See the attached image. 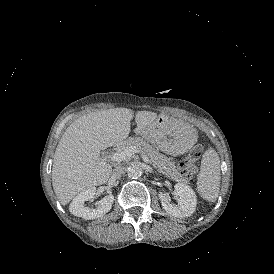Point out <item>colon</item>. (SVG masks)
<instances>
[{
  "label": "colon",
  "mask_w": 274,
  "mask_h": 274,
  "mask_svg": "<svg viewBox=\"0 0 274 274\" xmlns=\"http://www.w3.org/2000/svg\"><path fill=\"white\" fill-rule=\"evenodd\" d=\"M203 148L202 146L194 147L187 155V157L178 164L179 172L188 176L195 172L196 161L202 156Z\"/></svg>",
  "instance_id": "5ec220e1"
}]
</instances>
